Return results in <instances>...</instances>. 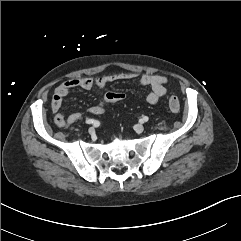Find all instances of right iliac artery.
I'll use <instances>...</instances> for the list:
<instances>
[{"instance_id": "82829eb1", "label": "right iliac artery", "mask_w": 241, "mask_h": 241, "mask_svg": "<svg viewBox=\"0 0 241 241\" xmlns=\"http://www.w3.org/2000/svg\"><path fill=\"white\" fill-rule=\"evenodd\" d=\"M86 123H87V124H93L94 126L99 125V121L93 120V119H87V120H86Z\"/></svg>"}]
</instances>
